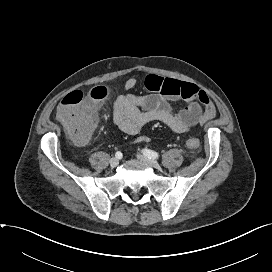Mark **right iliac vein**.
Here are the masks:
<instances>
[{
  "instance_id": "obj_1",
  "label": "right iliac vein",
  "mask_w": 272,
  "mask_h": 272,
  "mask_svg": "<svg viewBox=\"0 0 272 272\" xmlns=\"http://www.w3.org/2000/svg\"><path fill=\"white\" fill-rule=\"evenodd\" d=\"M119 164V159L116 157H113L110 159V166L112 168L116 167Z\"/></svg>"
}]
</instances>
